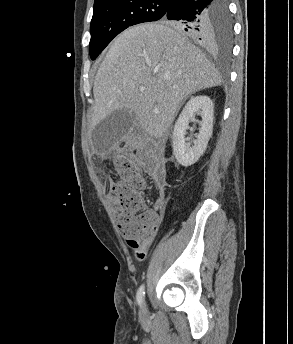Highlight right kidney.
Segmentation results:
<instances>
[{
  "label": "right kidney",
  "mask_w": 293,
  "mask_h": 344,
  "mask_svg": "<svg viewBox=\"0 0 293 344\" xmlns=\"http://www.w3.org/2000/svg\"><path fill=\"white\" fill-rule=\"evenodd\" d=\"M213 108L212 100L205 95L192 97L183 108L175 123L172 137L173 154L180 165L184 167L193 165L205 152L212 136ZM195 114L201 116V120L198 122L200 128L197 139L193 141V146H190L185 141V135L189 122Z\"/></svg>",
  "instance_id": "ca27d5eb"
}]
</instances>
